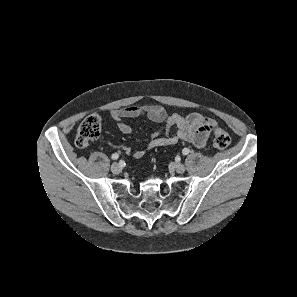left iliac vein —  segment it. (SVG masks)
I'll return each instance as SVG.
<instances>
[{"instance_id": "1", "label": "left iliac vein", "mask_w": 297, "mask_h": 297, "mask_svg": "<svg viewBox=\"0 0 297 297\" xmlns=\"http://www.w3.org/2000/svg\"><path fill=\"white\" fill-rule=\"evenodd\" d=\"M174 168L176 170L177 173H184L185 171V166L182 163L176 162L174 163Z\"/></svg>"}]
</instances>
